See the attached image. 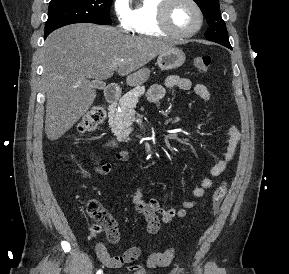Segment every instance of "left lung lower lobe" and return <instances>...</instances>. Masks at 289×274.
<instances>
[{
  "mask_svg": "<svg viewBox=\"0 0 289 274\" xmlns=\"http://www.w3.org/2000/svg\"><path fill=\"white\" fill-rule=\"evenodd\" d=\"M226 47H228V48L232 49V48H231V45H226Z\"/></svg>",
  "mask_w": 289,
  "mask_h": 274,
  "instance_id": "left-lung-lower-lobe-1",
  "label": "left lung lower lobe"
}]
</instances>
